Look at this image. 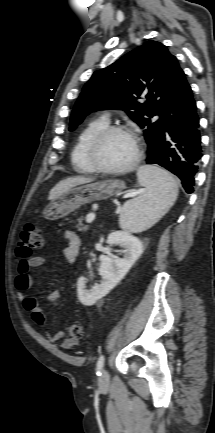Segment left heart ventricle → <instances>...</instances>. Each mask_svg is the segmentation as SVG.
I'll return each instance as SVG.
<instances>
[{
	"mask_svg": "<svg viewBox=\"0 0 215 433\" xmlns=\"http://www.w3.org/2000/svg\"><path fill=\"white\" fill-rule=\"evenodd\" d=\"M134 140L122 133H113L106 137L98 147L97 160L108 168H120L127 165L134 157Z\"/></svg>",
	"mask_w": 215,
	"mask_h": 433,
	"instance_id": "obj_1",
	"label": "left heart ventricle"
}]
</instances>
